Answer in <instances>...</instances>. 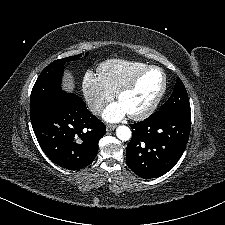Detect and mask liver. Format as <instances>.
I'll use <instances>...</instances> for the list:
<instances>
[{
  "instance_id": "6515ba94",
  "label": "liver",
  "mask_w": 225,
  "mask_h": 225,
  "mask_svg": "<svg viewBox=\"0 0 225 225\" xmlns=\"http://www.w3.org/2000/svg\"><path fill=\"white\" fill-rule=\"evenodd\" d=\"M74 88H75L74 76L69 71H66L63 79V90L67 92H73Z\"/></svg>"
}]
</instances>
